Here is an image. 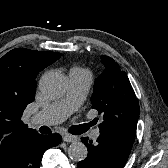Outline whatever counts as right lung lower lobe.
Listing matches in <instances>:
<instances>
[{
  "label": "right lung lower lobe",
  "mask_w": 168,
  "mask_h": 168,
  "mask_svg": "<svg viewBox=\"0 0 168 168\" xmlns=\"http://www.w3.org/2000/svg\"><path fill=\"white\" fill-rule=\"evenodd\" d=\"M62 137L55 133L41 135L32 133L24 136L9 150L0 164V168H39L44 152L57 146Z\"/></svg>",
  "instance_id": "98d812e1"
}]
</instances>
